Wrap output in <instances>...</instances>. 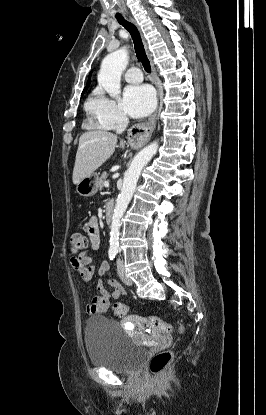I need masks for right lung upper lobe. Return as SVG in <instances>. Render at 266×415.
Here are the masks:
<instances>
[{"label":"right lung upper lobe","mask_w":266,"mask_h":415,"mask_svg":"<svg viewBox=\"0 0 266 415\" xmlns=\"http://www.w3.org/2000/svg\"><path fill=\"white\" fill-rule=\"evenodd\" d=\"M89 82H90V78H89V80H88V82L86 84V87L84 88V91L88 88Z\"/></svg>","instance_id":"1"}]
</instances>
